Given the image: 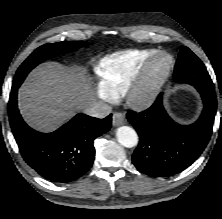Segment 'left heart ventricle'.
Masks as SVG:
<instances>
[{
  "label": "left heart ventricle",
  "mask_w": 222,
  "mask_h": 219,
  "mask_svg": "<svg viewBox=\"0 0 222 219\" xmlns=\"http://www.w3.org/2000/svg\"><path fill=\"white\" fill-rule=\"evenodd\" d=\"M164 64H165V62H164V61H161V62L156 66V68H155V70H154V75H155V76H157V75L161 72V70H162L163 67H164Z\"/></svg>",
  "instance_id": "b2bd125f"
}]
</instances>
